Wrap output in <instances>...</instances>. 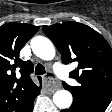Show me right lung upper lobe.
Segmentation results:
<instances>
[{
  "instance_id": "1",
  "label": "right lung upper lobe",
  "mask_w": 112,
  "mask_h": 112,
  "mask_svg": "<svg viewBox=\"0 0 112 112\" xmlns=\"http://www.w3.org/2000/svg\"><path fill=\"white\" fill-rule=\"evenodd\" d=\"M38 30L39 26L15 22L0 26V112H25L40 93L41 87L30 77L32 62L19 58L20 50Z\"/></svg>"
}]
</instances>
